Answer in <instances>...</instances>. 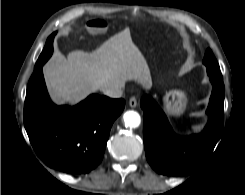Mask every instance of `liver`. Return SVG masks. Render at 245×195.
<instances>
[{
    "instance_id": "obj_1",
    "label": "liver",
    "mask_w": 245,
    "mask_h": 195,
    "mask_svg": "<svg viewBox=\"0 0 245 195\" xmlns=\"http://www.w3.org/2000/svg\"><path fill=\"white\" fill-rule=\"evenodd\" d=\"M44 76L55 99L71 104L103 87L123 88L130 80L144 88L152 85L147 61L128 28L92 53L76 50L66 58L57 52L44 66Z\"/></svg>"
}]
</instances>
